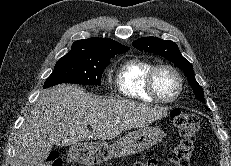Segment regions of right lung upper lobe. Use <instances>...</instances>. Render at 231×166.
<instances>
[{
  "label": "right lung upper lobe",
  "instance_id": "obj_1",
  "mask_svg": "<svg viewBox=\"0 0 231 166\" xmlns=\"http://www.w3.org/2000/svg\"><path fill=\"white\" fill-rule=\"evenodd\" d=\"M126 47L110 38H88L75 41L68 54H77L91 57H101L110 54L125 53Z\"/></svg>",
  "mask_w": 231,
  "mask_h": 166
}]
</instances>
